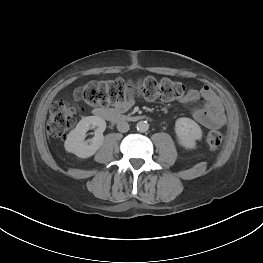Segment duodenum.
Here are the masks:
<instances>
[{"label":"duodenum","mask_w":263,"mask_h":263,"mask_svg":"<svg viewBox=\"0 0 263 263\" xmlns=\"http://www.w3.org/2000/svg\"><path fill=\"white\" fill-rule=\"evenodd\" d=\"M95 114L103 119H106L111 122L120 123L127 121H138L141 116H129L120 113L118 110L113 109H97Z\"/></svg>","instance_id":"1"}]
</instances>
